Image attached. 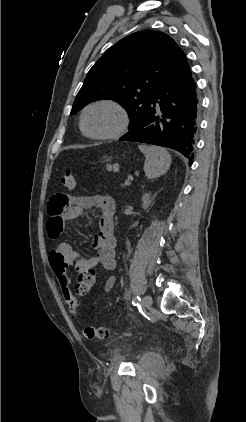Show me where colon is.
<instances>
[{"instance_id": "5ec220e1", "label": "colon", "mask_w": 246, "mask_h": 422, "mask_svg": "<svg viewBox=\"0 0 246 422\" xmlns=\"http://www.w3.org/2000/svg\"><path fill=\"white\" fill-rule=\"evenodd\" d=\"M109 169L112 171H117L118 166L111 165L109 166ZM61 184L68 190H74L76 188V178L74 174L70 171L65 172L61 177ZM49 261L52 269L59 277L60 283L63 287L64 298L72 318H80L81 301L79 297L87 294L93 287L96 280L95 269L90 268L78 273L75 292L72 293L67 287L68 278L66 276V272L68 270L69 264L66 260V257L57 249H53L49 254ZM84 335L89 339H105L109 336V330L106 327L88 326L84 330Z\"/></svg>"}]
</instances>
